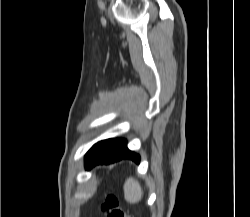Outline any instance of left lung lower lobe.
<instances>
[{
	"mask_svg": "<svg viewBox=\"0 0 250 217\" xmlns=\"http://www.w3.org/2000/svg\"><path fill=\"white\" fill-rule=\"evenodd\" d=\"M122 159L140 162V156L130 151L125 139H107L93 145L85 155V168L90 169L97 164H110Z\"/></svg>",
	"mask_w": 250,
	"mask_h": 217,
	"instance_id": "obj_1",
	"label": "left lung lower lobe"
}]
</instances>
